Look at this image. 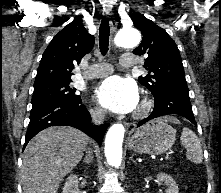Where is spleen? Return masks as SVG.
I'll return each instance as SVG.
<instances>
[{"instance_id":"1","label":"spleen","mask_w":221,"mask_h":193,"mask_svg":"<svg viewBox=\"0 0 221 193\" xmlns=\"http://www.w3.org/2000/svg\"><path fill=\"white\" fill-rule=\"evenodd\" d=\"M180 141L181 144L187 148V158L196 164L202 163L203 154L201 143L196 134L189 128H183Z\"/></svg>"}]
</instances>
